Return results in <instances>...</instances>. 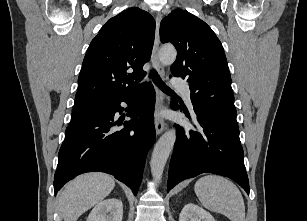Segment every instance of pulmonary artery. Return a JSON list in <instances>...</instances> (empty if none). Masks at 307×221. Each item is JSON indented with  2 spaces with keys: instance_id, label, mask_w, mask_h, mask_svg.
Listing matches in <instances>:
<instances>
[{
  "instance_id": "obj_1",
  "label": "pulmonary artery",
  "mask_w": 307,
  "mask_h": 221,
  "mask_svg": "<svg viewBox=\"0 0 307 221\" xmlns=\"http://www.w3.org/2000/svg\"><path fill=\"white\" fill-rule=\"evenodd\" d=\"M174 87L182 92V94L184 95L186 99V102L188 103L189 106H191V98H190L191 91L189 89L188 84L182 81H175Z\"/></svg>"
}]
</instances>
